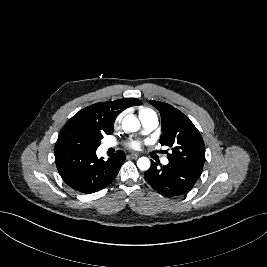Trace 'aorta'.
<instances>
[{
    "label": "aorta",
    "mask_w": 267,
    "mask_h": 267,
    "mask_svg": "<svg viewBox=\"0 0 267 267\" xmlns=\"http://www.w3.org/2000/svg\"><path fill=\"white\" fill-rule=\"evenodd\" d=\"M122 128L126 132H136L140 129V121L133 115H127L122 120ZM150 165V160L147 157H141L137 160V166L140 170L146 171Z\"/></svg>",
    "instance_id": "1"
}]
</instances>
